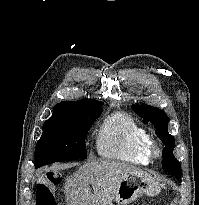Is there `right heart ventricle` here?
<instances>
[{
	"mask_svg": "<svg viewBox=\"0 0 199 205\" xmlns=\"http://www.w3.org/2000/svg\"><path fill=\"white\" fill-rule=\"evenodd\" d=\"M149 140L147 131L131 116L115 113L101 125L96 150L105 159L147 165L151 162Z\"/></svg>",
	"mask_w": 199,
	"mask_h": 205,
	"instance_id": "right-heart-ventricle-1",
	"label": "right heart ventricle"
}]
</instances>
